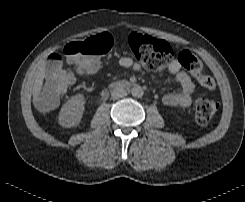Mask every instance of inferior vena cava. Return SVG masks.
Listing matches in <instances>:
<instances>
[{
	"label": "inferior vena cava",
	"instance_id": "obj_1",
	"mask_svg": "<svg viewBox=\"0 0 245 202\" xmlns=\"http://www.w3.org/2000/svg\"><path fill=\"white\" fill-rule=\"evenodd\" d=\"M127 95V91L123 88H115L112 92H111V98L113 100L116 99H120L123 98Z\"/></svg>",
	"mask_w": 245,
	"mask_h": 202
}]
</instances>
